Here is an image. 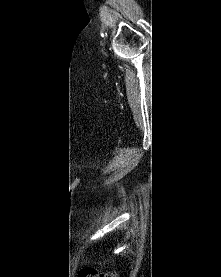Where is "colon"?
<instances>
[{
    "instance_id": "1",
    "label": "colon",
    "mask_w": 221,
    "mask_h": 277,
    "mask_svg": "<svg viewBox=\"0 0 221 277\" xmlns=\"http://www.w3.org/2000/svg\"><path fill=\"white\" fill-rule=\"evenodd\" d=\"M78 277H117V275L111 272L100 273L94 269L86 268L79 272Z\"/></svg>"
}]
</instances>
